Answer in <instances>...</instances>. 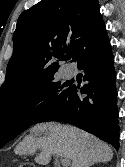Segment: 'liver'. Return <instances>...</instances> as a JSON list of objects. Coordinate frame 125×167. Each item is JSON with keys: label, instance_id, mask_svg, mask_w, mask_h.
Listing matches in <instances>:
<instances>
[{"label": "liver", "instance_id": "obj_1", "mask_svg": "<svg viewBox=\"0 0 125 167\" xmlns=\"http://www.w3.org/2000/svg\"><path fill=\"white\" fill-rule=\"evenodd\" d=\"M38 150L40 153L34 160L40 165L49 164L53 154L71 160V167H90L113 158L112 148L95 136L76 127L53 122L34 126L14 152L27 155Z\"/></svg>", "mask_w": 125, "mask_h": 167}]
</instances>
